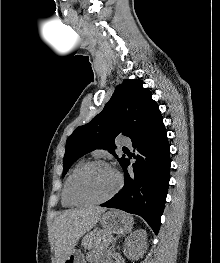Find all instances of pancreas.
<instances>
[{
    "label": "pancreas",
    "mask_w": 220,
    "mask_h": 263,
    "mask_svg": "<svg viewBox=\"0 0 220 263\" xmlns=\"http://www.w3.org/2000/svg\"><path fill=\"white\" fill-rule=\"evenodd\" d=\"M110 235L104 230H94L83 239L85 248L105 249L108 245Z\"/></svg>",
    "instance_id": "obj_1"
}]
</instances>
